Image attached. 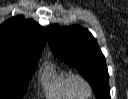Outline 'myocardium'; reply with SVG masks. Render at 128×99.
Listing matches in <instances>:
<instances>
[{
	"label": "myocardium",
	"instance_id": "obj_1",
	"mask_svg": "<svg viewBox=\"0 0 128 99\" xmlns=\"http://www.w3.org/2000/svg\"><path fill=\"white\" fill-rule=\"evenodd\" d=\"M78 83H82L86 86L87 90H88V94L86 96H80L78 93H77V90H76V85ZM70 88H71V91L73 92V94L77 97V98H80V99H83V98H89L92 94V87L89 83V81L83 77L82 75L80 74H72L70 76Z\"/></svg>",
	"mask_w": 128,
	"mask_h": 99
}]
</instances>
